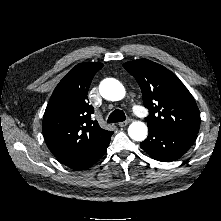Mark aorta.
I'll return each mask as SVG.
<instances>
[{
    "instance_id": "aorta-1",
    "label": "aorta",
    "mask_w": 221,
    "mask_h": 221,
    "mask_svg": "<svg viewBox=\"0 0 221 221\" xmlns=\"http://www.w3.org/2000/svg\"><path fill=\"white\" fill-rule=\"evenodd\" d=\"M99 91L103 98L110 101H119L125 97L124 86L116 79L107 78L99 85ZM148 134V128L144 122H132L128 128V135L135 141H143Z\"/></svg>"
}]
</instances>
